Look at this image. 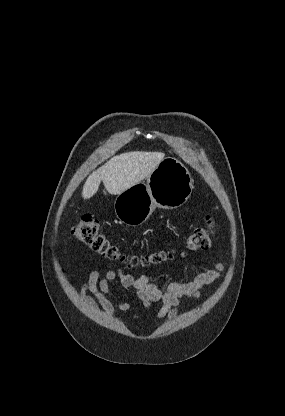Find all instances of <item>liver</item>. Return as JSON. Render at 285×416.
Returning a JSON list of instances; mask_svg holds the SVG:
<instances>
[{"mask_svg":"<svg viewBox=\"0 0 285 416\" xmlns=\"http://www.w3.org/2000/svg\"><path fill=\"white\" fill-rule=\"evenodd\" d=\"M164 156L163 152H126L114 156L88 176L83 186L82 198H92L98 192L101 182L109 194H122L148 178L160 162H163Z\"/></svg>","mask_w":285,"mask_h":416,"instance_id":"obj_1","label":"liver"}]
</instances>
